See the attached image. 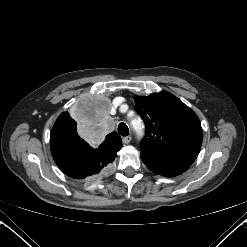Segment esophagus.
Returning a JSON list of instances; mask_svg holds the SVG:
<instances>
[{"mask_svg": "<svg viewBox=\"0 0 247 247\" xmlns=\"http://www.w3.org/2000/svg\"><path fill=\"white\" fill-rule=\"evenodd\" d=\"M131 140H132V137H131V136H126V137H123V138H122V142H123L124 144L130 143Z\"/></svg>", "mask_w": 247, "mask_h": 247, "instance_id": "obj_1", "label": "esophagus"}]
</instances>
